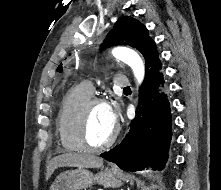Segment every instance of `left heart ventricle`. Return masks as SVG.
<instances>
[{
    "label": "left heart ventricle",
    "mask_w": 221,
    "mask_h": 190,
    "mask_svg": "<svg viewBox=\"0 0 221 190\" xmlns=\"http://www.w3.org/2000/svg\"><path fill=\"white\" fill-rule=\"evenodd\" d=\"M108 117L107 105H96L89 114L87 123V137L91 144L98 145L109 139L114 131Z\"/></svg>",
    "instance_id": "obj_1"
}]
</instances>
